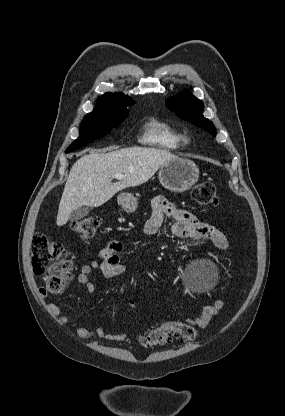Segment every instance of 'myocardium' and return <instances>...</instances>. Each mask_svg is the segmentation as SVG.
Returning <instances> with one entry per match:
<instances>
[{
  "mask_svg": "<svg viewBox=\"0 0 285 416\" xmlns=\"http://www.w3.org/2000/svg\"><path fill=\"white\" fill-rule=\"evenodd\" d=\"M186 141L188 142V141H189V139L187 138V139H186Z\"/></svg>",
  "mask_w": 285,
  "mask_h": 416,
  "instance_id": "myocardium-1",
  "label": "myocardium"
}]
</instances>
